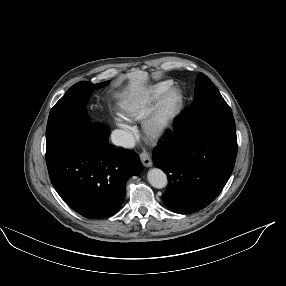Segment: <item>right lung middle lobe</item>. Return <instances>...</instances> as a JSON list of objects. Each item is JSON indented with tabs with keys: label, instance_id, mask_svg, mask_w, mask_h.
I'll return each instance as SVG.
<instances>
[{
	"label": "right lung middle lobe",
	"instance_id": "obj_1",
	"mask_svg": "<svg viewBox=\"0 0 286 286\" xmlns=\"http://www.w3.org/2000/svg\"><path fill=\"white\" fill-rule=\"evenodd\" d=\"M107 84L108 82L93 84L81 81L70 87L50 111L46 128V143L82 128H91L108 136L105 129L94 123H88L85 106L88 95L93 90Z\"/></svg>",
	"mask_w": 286,
	"mask_h": 286
}]
</instances>
